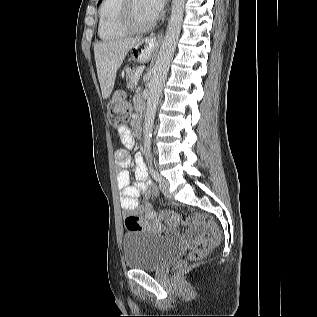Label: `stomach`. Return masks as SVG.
I'll list each match as a JSON object with an SVG mask.
<instances>
[{
	"label": "stomach",
	"mask_w": 317,
	"mask_h": 317,
	"mask_svg": "<svg viewBox=\"0 0 317 317\" xmlns=\"http://www.w3.org/2000/svg\"><path fill=\"white\" fill-rule=\"evenodd\" d=\"M130 65H135V56H130ZM130 72L129 68H120L119 72H115V79H117V81H115V88H119L120 90H123L124 88H127L128 86V73Z\"/></svg>",
	"instance_id": "obj_1"
}]
</instances>
